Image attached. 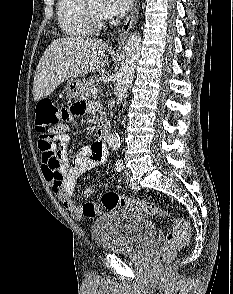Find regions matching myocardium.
<instances>
[{"label":"myocardium","mask_w":233,"mask_h":294,"mask_svg":"<svg viewBox=\"0 0 233 294\" xmlns=\"http://www.w3.org/2000/svg\"><path fill=\"white\" fill-rule=\"evenodd\" d=\"M87 12L90 22L95 30L106 26L108 19L104 14L96 12L90 5H87Z\"/></svg>","instance_id":"f54148a6"}]
</instances>
